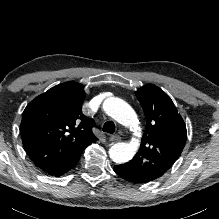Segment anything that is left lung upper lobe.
Wrapping results in <instances>:
<instances>
[{"label": "left lung upper lobe", "mask_w": 219, "mask_h": 219, "mask_svg": "<svg viewBox=\"0 0 219 219\" xmlns=\"http://www.w3.org/2000/svg\"><path fill=\"white\" fill-rule=\"evenodd\" d=\"M135 94L147 124L139 151L124 165L155 180L180 157L187 138L186 126L171 98L156 85H144Z\"/></svg>", "instance_id": "5c2ea615"}]
</instances>
